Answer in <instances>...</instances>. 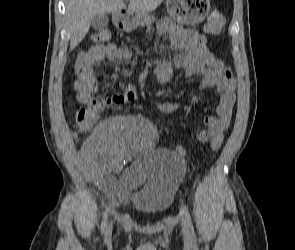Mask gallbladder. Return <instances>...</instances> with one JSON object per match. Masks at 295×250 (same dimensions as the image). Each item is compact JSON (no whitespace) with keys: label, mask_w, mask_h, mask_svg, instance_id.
Listing matches in <instances>:
<instances>
[{"label":"gallbladder","mask_w":295,"mask_h":250,"mask_svg":"<svg viewBox=\"0 0 295 250\" xmlns=\"http://www.w3.org/2000/svg\"><path fill=\"white\" fill-rule=\"evenodd\" d=\"M109 18L107 14H97L91 20V26L95 30H103L107 27Z\"/></svg>","instance_id":"obj_1"}]
</instances>
